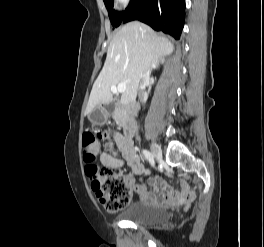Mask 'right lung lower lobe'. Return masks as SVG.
Wrapping results in <instances>:
<instances>
[{
	"label": "right lung lower lobe",
	"instance_id": "1",
	"mask_svg": "<svg viewBox=\"0 0 264 247\" xmlns=\"http://www.w3.org/2000/svg\"><path fill=\"white\" fill-rule=\"evenodd\" d=\"M184 8L185 0H134L122 22L139 20L179 39L184 25Z\"/></svg>",
	"mask_w": 264,
	"mask_h": 247
}]
</instances>
